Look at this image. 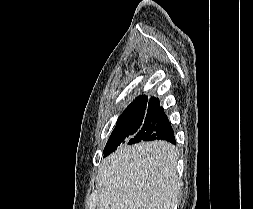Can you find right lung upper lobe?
Instances as JSON below:
<instances>
[{
  "mask_svg": "<svg viewBox=\"0 0 253 209\" xmlns=\"http://www.w3.org/2000/svg\"><path fill=\"white\" fill-rule=\"evenodd\" d=\"M159 101V99L155 97H151L149 100L147 96L141 95L137 97L128 107L127 109L122 113L120 117H126L130 116L132 114H135L139 111L151 109L153 105Z\"/></svg>",
  "mask_w": 253,
  "mask_h": 209,
  "instance_id": "cb5924a9",
  "label": "right lung upper lobe"
}]
</instances>
